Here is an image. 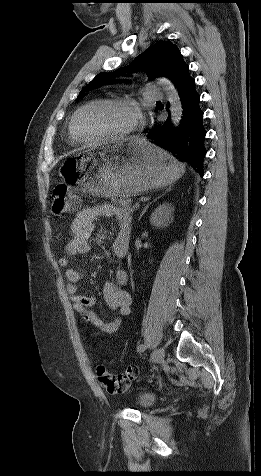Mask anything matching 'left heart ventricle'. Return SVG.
<instances>
[{"mask_svg":"<svg viewBox=\"0 0 261 476\" xmlns=\"http://www.w3.org/2000/svg\"><path fill=\"white\" fill-rule=\"evenodd\" d=\"M135 115L130 109L114 104H97L85 109L79 116L77 127L85 138L114 134L131 127Z\"/></svg>","mask_w":261,"mask_h":476,"instance_id":"left-heart-ventricle-1","label":"left heart ventricle"}]
</instances>
